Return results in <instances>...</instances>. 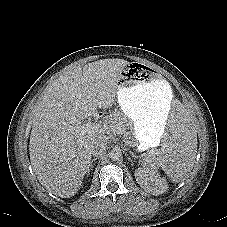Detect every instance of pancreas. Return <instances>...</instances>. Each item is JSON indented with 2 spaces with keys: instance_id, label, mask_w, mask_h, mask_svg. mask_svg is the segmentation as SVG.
I'll return each instance as SVG.
<instances>
[{
  "instance_id": "pancreas-1",
  "label": "pancreas",
  "mask_w": 227,
  "mask_h": 227,
  "mask_svg": "<svg viewBox=\"0 0 227 227\" xmlns=\"http://www.w3.org/2000/svg\"><path fill=\"white\" fill-rule=\"evenodd\" d=\"M108 124L111 130L117 134H126L131 122L122 113L114 112L109 116Z\"/></svg>"
}]
</instances>
